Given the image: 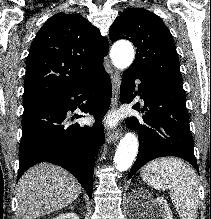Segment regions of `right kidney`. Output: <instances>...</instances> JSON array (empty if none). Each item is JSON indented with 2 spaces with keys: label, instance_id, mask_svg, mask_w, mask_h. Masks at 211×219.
<instances>
[{
  "label": "right kidney",
  "instance_id": "right-kidney-1",
  "mask_svg": "<svg viewBox=\"0 0 211 219\" xmlns=\"http://www.w3.org/2000/svg\"><path fill=\"white\" fill-rule=\"evenodd\" d=\"M53 219H79L78 215L74 212L61 214L60 216Z\"/></svg>",
  "mask_w": 211,
  "mask_h": 219
}]
</instances>
